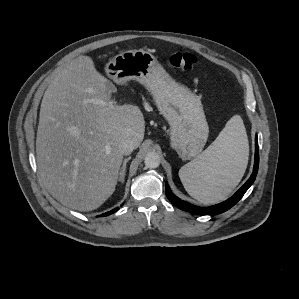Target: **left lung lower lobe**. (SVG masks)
I'll return each mask as SVG.
<instances>
[{
	"label": "left lung lower lobe",
	"instance_id": "0a47b994",
	"mask_svg": "<svg viewBox=\"0 0 299 299\" xmlns=\"http://www.w3.org/2000/svg\"><path fill=\"white\" fill-rule=\"evenodd\" d=\"M259 167V150H258V141L257 136L255 137V161H254V168L253 173L251 177L247 180V182L228 200L219 203L217 205L209 206V207H198L195 205H192L188 202H185L181 199H179L177 196H175L168 184L166 183V195L170 202H172L173 205L178 207L181 210L197 214V215H216L223 213L233 207L245 194V192L248 190V188L253 184Z\"/></svg>",
	"mask_w": 299,
	"mask_h": 299
}]
</instances>
